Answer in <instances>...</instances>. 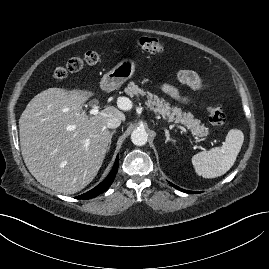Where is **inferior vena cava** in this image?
<instances>
[{"instance_id":"1","label":"inferior vena cava","mask_w":269,"mask_h":269,"mask_svg":"<svg viewBox=\"0 0 269 269\" xmlns=\"http://www.w3.org/2000/svg\"><path fill=\"white\" fill-rule=\"evenodd\" d=\"M120 124H121V118L114 116L108 119V121L106 122V127L110 129H115L119 127Z\"/></svg>"}]
</instances>
